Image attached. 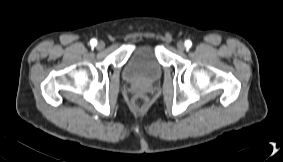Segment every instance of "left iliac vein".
I'll return each instance as SVG.
<instances>
[{
    "label": "left iliac vein",
    "instance_id": "4c4485c4",
    "mask_svg": "<svg viewBox=\"0 0 283 162\" xmlns=\"http://www.w3.org/2000/svg\"><path fill=\"white\" fill-rule=\"evenodd\" d=\"M177 49H178L179 51H184V50H185V44H184L183 41H178V42H177Z\"/></svg>",
    "mask_w": 283,
    "mask_h": 162
}]
</instances>
